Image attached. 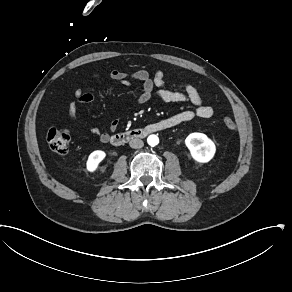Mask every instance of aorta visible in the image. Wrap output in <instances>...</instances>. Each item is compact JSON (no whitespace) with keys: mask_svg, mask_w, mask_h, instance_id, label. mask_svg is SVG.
<instances>
[{"mask_svg":"<svg viewBox=\"0 0 292 292\" xmlns=\"http://www.w3.org/2000/svg\"><path fill=\"white\" fill-rule=\"evenodd\" d=\"M147 142L150 146H156L159 143V138L156 135H150Z\"/></svg>","mask_w":292,"mask_h":292,"instance_id":"762f6f07","label":"aorta"}]
</instances>
